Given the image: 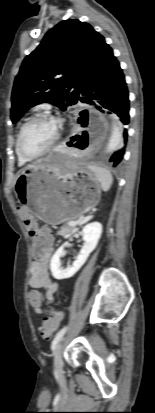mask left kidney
<instances>
[{
	"instance_id": "1",
	"label": "left kidney",
	"mask_w": 155,
	"mask_h": 413,
	"mask_svg": "<svg viewBox=\"0 0 155 413\" xmlns=\"http://www.w3.org/2000/svg\"><path fill=\"white\" fill-rule=\"evenodd\" d=\"M101 234L102 225L99 222H92L84 226L82 229L84 245L73 264L65 269L61 268L60 258L63 255L64 247L67 245V242L59 247L52 256L50 263V269L53 277L57 280L72 277L84 265L90 253L96 248Z\"/></svg>"
}]
</instances>
